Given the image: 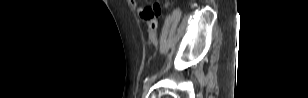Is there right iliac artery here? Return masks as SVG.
<instances>
[{"instance_id":"1","label":"right iliac artery","mask_w":308,"mask_h":98,"mask_svg":"<svg viewBox=\"0 0 308 98\" xmlns=\"http://www.w3.org/2000/svg\"><path fill=\"white\" fill-rule=\"evenodd\" d=\"M154 78H155V76L151 77L150 79H146L145 82H144V87H145L150 81H152Z\"/></svg>"}]
</instances>
